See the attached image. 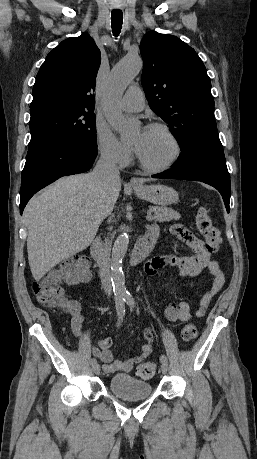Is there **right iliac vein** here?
Segmentation results:
<instances>
[{"instance_id": "obj_1", "label": "right iliac vein", "mask_w": 257, "mask_h": 459, "mask_svg": "<svg viewBox=\"0 0 257 459\" xmlns=\"http://www.w3.org/2000/svg\"><path fill=\"white\" fill-rule=\"evenodd\" d=\"M100 370H101V368H100L99 364L93 365V371H94L95 374L99 375L100 374Z\"/></svg>"}]
</instances>
